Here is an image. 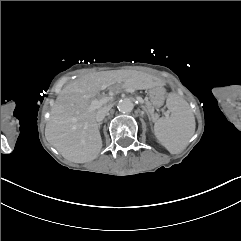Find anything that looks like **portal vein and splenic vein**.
I'll return each mask as SVG.
<instances>
[{
	"instance_id": "obj_1",
	"label": "portal vein and splenic vein",
	"mask_w": 241,
	"mask_h": 241,
	"mask_svg": "<svg viewBox=\"0 0 241 241\" xmlns=\"http://www.w3.org/2000/svg\"><path fill=\"white\" fill-rule=\"evenodd\" d=\"M116 88H113V90H115ZM110 100H113V97H102L101 99H94L92 102H91V108L92 109H98L100 108L103 104L109 102ZM137 102L138 103H142V104H145L146 103V100L143 99L142 97H137Z\"/></svg>"
}]
</instances>
